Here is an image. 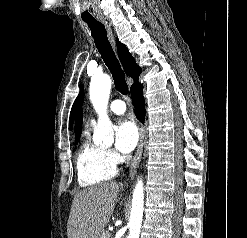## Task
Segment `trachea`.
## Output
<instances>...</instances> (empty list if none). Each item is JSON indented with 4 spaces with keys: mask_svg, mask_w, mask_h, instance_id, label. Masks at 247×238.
I'll list each match as a JSON object with an SVG mask.
<instances>
[{
    "mask_svg": "<svg viewBox=\"0 0 247 238\" xmlns=\"http://www.w3.org/2000/svg\"><path fill=\"white\" fill-rule=\"evenodd\" d=\"M90 30L94 43L101 54L106 66L113 76L116 89L122 94H128V85L124 72L108 40L105 27L98 21H85Z\"/></svg>",
    "mask_w": 247,
    "mask_h": 238,
    "instance_id": "1",
    "label": "trachea"
}]
</instances>
